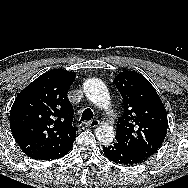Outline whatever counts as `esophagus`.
Returning <instances> with one entry per match:
<instances>
[{
	"label": "esophagus",
	"mask_w": 188,
	"mask_h": 188,
	"mask_svg": "<svg viewBox=\"0 0 188 188\" xmlns=\"http://www.w3.org/2000/svg\"><path fill=\"white\" fill-rule=\"evenodd\" d=\"M100 124L98 120H90L85 123L86 127L95 128Z\"/></svg>",
	"instance_id": "obj_1"
}]
</instances>
